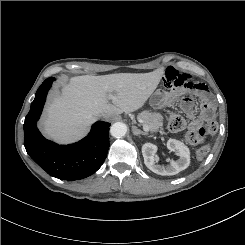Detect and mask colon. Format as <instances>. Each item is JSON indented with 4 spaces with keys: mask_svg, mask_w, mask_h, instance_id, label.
Segmentation results:
<instances>
[{
    "mask_svg": "<svg viewBox=\"0 0 245 245\" xmlns=\"http://www.w3.org/2000/svg\"><path fill=\"white\" fill-rule=\"evenodd\" d=\"M169 127L175 132L186 131L185 139L191 145H200L205 141L207 136L214 135L218 130V124L215 120L209 119L198 130L187 129V124L184 118L178 114H172L169 120ZM209 148L206 145L200 146L196 151V156L199 160L206 157Z\"/></svg>",
    "mask_w": 245,
    "mask_h": 245,
    "instance_id": "obj_1",
    "label": "colon"
}]
</instances>
